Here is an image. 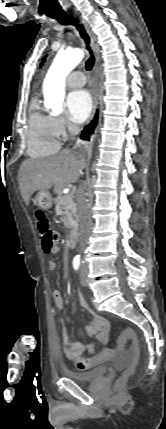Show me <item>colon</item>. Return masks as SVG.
Masks as SVG:
<instances>
[{"label": "colon", "instance_id": "obj_1", "mask_svg": "<svg viewBox=\"0 0 166 429\" xmlns=\"http://www.w3.org/2000/svg\"><path fill=\"white\" fill-rule=\"evenodd\" d=\"M37 217V227L42 240V249L44 252L48 253L53 247H55L59 242V234L51 227L49 221L44 216L41 211H38L36 214ZM131 343V355L132 361L129 367L125 370L118 383L123 384L135 371L138 362V340L134 331L126 329L121 332L119 337L116 340V346L118 349L122 350L125 348V345Z\"/></svg>", "mask_w": 166, "mask_h": 429}]
</instances>
